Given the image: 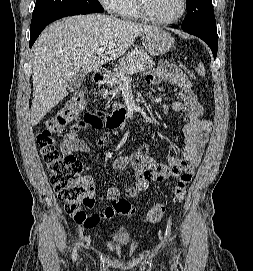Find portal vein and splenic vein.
Instances as JSON below:
<instances>
[{"mask_svg": "<svg viewBox=\"0 0 253 271\" xmlns=\"http://www.w3.org/2000/svg\"><path fill=\"white\" fill-rule=\"evenodd\" d=\"M105 51V48H100L96 51L97 55H102ZM142 70V66L141 65H133L131 66L130 68L127 69V73L128 74H133V73H136L138 71H141Z\"/></svg>", "mask_w": 253, "mask_h": 271, "instance_id": "obj_1", "label": "portal vein and splenic vein"}]
</instances>
